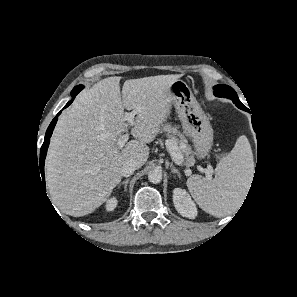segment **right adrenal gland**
<instances>
[{
	"label": "right adrenal gland",
	"mask_w": 297,
	"mask_h": 297,
	"mask_svg": "<svg viewBox=\"0 0 297 297\" xmlns=\"http://www.w3.org/2000/svg\"><path fill=\"white\" fill-rule=\"evenodd\" d=\"M129 182V178H127L125 181H122L118 184V189L121 187V185H124V191H127V184Z\"/></svg>",
	"instance_id": "obj_1"
}]
</instances>
